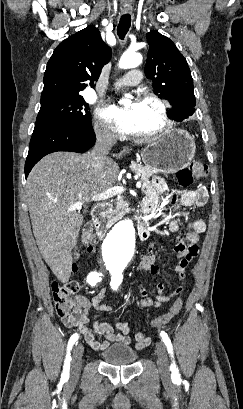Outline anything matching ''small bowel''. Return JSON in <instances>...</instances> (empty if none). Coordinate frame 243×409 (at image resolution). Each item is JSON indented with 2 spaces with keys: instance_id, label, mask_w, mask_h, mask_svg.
I'll return each instance as SVG.
<instances>
[{
  "instance_id": "1",
  "label": "small bowel",
  "mask_w": 243,
  "mask_h": 409,
  "mask_svg": "<svg viewBox=\"0 0 243 409\" xmlns=\"http://www.w3.org/2000/svg\"><path fill=\"white\" fill-rule=\"evenodd\" d=\"M169 192L168 186L161 179H155L150 185L145 186L146 198L143 202V209L147 212H152L159 206L170 205L174 210L189 208L193 206L203 205L208 196V191L204 185H199L192 190H187L179 195H173L169 198L161 199V196ZM206 224L200 218H192L190 220L188 231L185 239L180 240L174 247V251L179 257V262L174 268V273L183 281L187 278V267L189 263L197 256L200 235L205 231ZM169 230L177 232L179 230V222L175 219L169 222ZM154 254L152 245L149 246L146 255L142 258L139 270L147 271L151 274H159V267L154 263ZM183 282L180 285L172 284L168 293H165V284L157 283L152 290H148L143 284L139 285V293L142 297L140 301L141 308L160 307L164 303L170 301L184 289ZM106 290L101 289L91 299L77 295L76 303L82 308L80 321L76 324L79 332L84 335L86 342L94 350L101 351L114 343H122L125 345L133 344L138 350L147 347L151 338L139 332L130 337V328L127 322L121 321L115 325V328L110 324L102 321H95L92 326H89V315L92 310L99 313H111L112 307L104 302Z\"/></svg>"
}]
</instances>
